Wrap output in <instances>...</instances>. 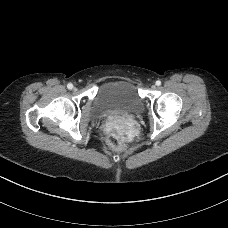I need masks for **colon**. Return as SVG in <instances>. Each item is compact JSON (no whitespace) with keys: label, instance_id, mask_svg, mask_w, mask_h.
<instances>
[{"label":"colon","instance_id":"colon-1","mask_svg":"<svg viewBox=\"0 0 228 228\" xmlns=\"http://www.w3.org/2000/svg\"><path fill=\"white\" fill-rule=\"evenodd\" d=\"M107 142L110 148L113 149L114 151L122 152L125 150L124 138L117 131H112L109 133L107 137Z\"/></svg>","mask_w":228,"mask_h":228}]
</instances>
